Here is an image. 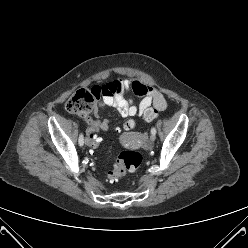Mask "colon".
<instances>
[{
  "label": "colon",
  "instance_id": "colon-1",
  "mask_svg": "<svg viewBox=\"0 0 248 248\" xmlns=\"http://www.w3.org/2000/svg\"><path fill=\"white\" fill-rule=\"evenodd\" d=\"M114 92L115 87L112 85H103L93 87L91 90L82 89L77 91L66 103L67 110L80 117H88L93 110L94 100L107 92ZM158 116L156 109H147L143 117L147 121H152ZM134 127V121L128 120L125 128L131 130ZM113 131L119 130L118 124L112 125ZM85 142L90 148H98L101 145V138L95 128H88L85 131ZM143 156L136 150L122 152L113 167L108 172L110 180H119L127 173L136 172L142 165Z\"/></svg>",
  "mask_w": 248,
  "mask_h": 248
}]
</instances>
